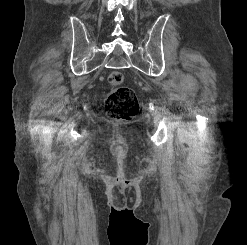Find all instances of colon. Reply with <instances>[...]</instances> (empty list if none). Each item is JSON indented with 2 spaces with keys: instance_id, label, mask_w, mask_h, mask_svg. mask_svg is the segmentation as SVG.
<instances>
[{
  "instance_id": "5ec220e1",
  "label": "colon",
  "mask_w": 247,
  "mask_h": 245,
  "mask_svg": "<svg viewBox=\"0 0 247 245\" xmlns=\"http://www.w3.org/2000/svg\"><path fill=\"white\" fill-rule=\"evenodd\" d=\"M109 91L105 97V112L114 120H129L139 111L135 92L123 85V75L112 71L107 78Z\"/></svg>"
}]
</instances>
